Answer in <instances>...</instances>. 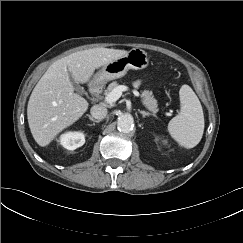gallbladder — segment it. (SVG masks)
Masks as SVG:
<instances>
[{"label":"gallbladder","instance_id":"1","mask_svg":"<svg viewBox=\"0 0 243 243\" xmlns=\"http://www.w3.org/2000/svg\"><path fill=\"white\" fill-rule=\"evenodd\" d=\"M69 75H70V79H71V81H72V84H73L75 90H76L77 92H79V93H83V91H84L83 88H82L77 82L74 81V79L72 78V76H71L70 73H69Z\"/></svg>","mask_w":243,"mask_h":243}]
</instances>
